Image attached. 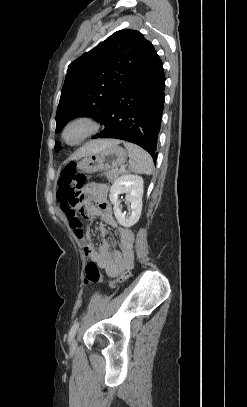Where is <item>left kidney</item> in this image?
Segmentation results:
<instances>
[{"instance_id": "5707ae66", "label": "left kidney", "mask_w": 247, "mask_h": 407, "mask_svg": "<svg viewBox=\"0 0 247 407\" xmlns=\"http://www.w3.org/2000/svg\"><path fill=\"white\" fill-rule=\"evenodd\" d=\"M125 193V199L130 203L131 213L127 216L120 209L118 196ZM143 178L137 175L126 174L117 178L112 184L109 198L114 205V215L120 225L131 227L136 224L142 211Z\"/></svg>"}]
</instances>
